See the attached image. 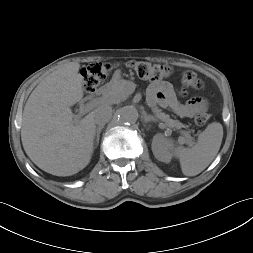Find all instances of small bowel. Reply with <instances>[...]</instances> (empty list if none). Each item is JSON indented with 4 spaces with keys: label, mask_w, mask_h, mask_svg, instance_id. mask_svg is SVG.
Returning a JSON list of instances; mask_svg holds the SVG:
<instances>
[{
    "label": "small bowel",
    "mask_w": 253,
    "mask_h": 253,
    "mask_svg": "<svg viewBox=\"0 0 253 253\" xmlns=\"http://www.w3.org/2000/svg\"><path fill=\"white\" fill-rule=\"evenodd\" d=\"M120 77L121 72L117 70L113 79L119 80ZM147 99L150 106L159 105L163 108H169L181 118H190L197 112L207 109V102L201 97L180 102L173 84L169 81L152 82L147 89Z\"/></svg>",
    "instance_id": "c3829d8e"
}]
</instances>
